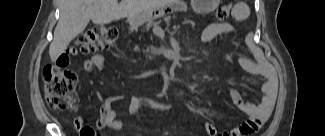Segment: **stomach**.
Returning <instances> with one entry per match:
<instances>
[{"label":"stomach","instance_id":"0dacf381","mask_svg":"<svg viewBox=\"0 0 325 136\" xmlns=\"http://www.w3.org/2000/svg\"><path fill=\"white\" fill-rule=\"evenodd\" d=\"M220 0H193L192 7L196 13H207L214 10ZM183 3L181 1H169L168 5H163L162 8H157L152 11L142 13L140 15L133 16L129 18V23L132 26L141 25L147 21H151L153 18H159L163 15H170L171 12H181L183 8Z\"/></svg>","mask_w":325,"mask_h":136}]
</instances>
